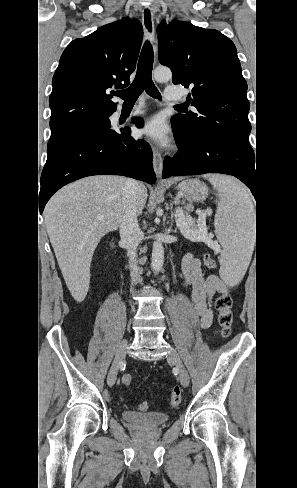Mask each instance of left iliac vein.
<instances>
[{"mask_svg": "<svg viewBox=\"0 0 297 488\" xmlns=\"http://www.w3.org/2000/svg\"><path fill=\"white\" fill-rule=\"evenodd\" d=\"M167 360L177 367V369L179 371L180 382H181L183 387H187L189 385V382H190V377H189V374H188L185 366L183 365V363L180 359L178 352L174 348H170L168 356H167Z\"/></svg>", "mask_w": 297, "mask_h": 488, "instance_id": "left-iliac-vein-1", "label": "left iliac vein"}]
</instances>
